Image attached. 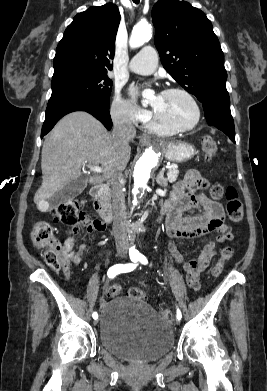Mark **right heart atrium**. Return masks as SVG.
Returning a JSON list of instances; mask_svg holds the SVG:
<instances>
[{
  "instance_id": "d8ad5b80",
  "label": "right heart atrium",
  "mask_w": 267,
  "mask_h": 391,
  "mask_svg": "<svg viewBox=\"0 0 267 391\" xmlns=\"http://www.w3.org/2000/svg\"><path fill=\"white\" fill-rule=\"evenodd\" d=\"M112 120L121 125H138L148 121L150 114L137 108L131 101L116 94L110 108Z\"/></svg>"
}]
</instances>
